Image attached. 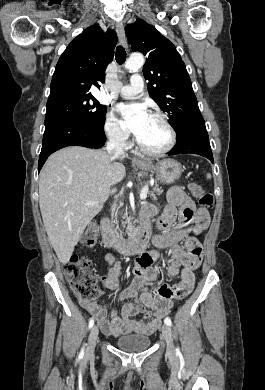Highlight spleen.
<instances>
[{"mask_svg":"<svg viewBox=\"0 0 265 390\" xmlns=\"http://www.w3.org/2000/svg\"><path fill=\"white\" fill-rule=\"evenodd\" d=\"M207 178L210 179L211 178V174H207Z\"/></svg>","mask_w":265,"mask_h":390,"instance_id":"spleen-1","label":"spleen"}]
</instances>
